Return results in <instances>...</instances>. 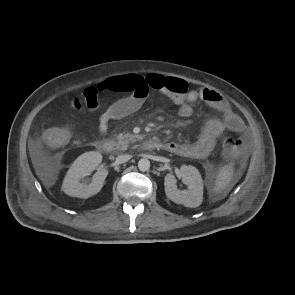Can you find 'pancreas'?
<instances>
[{"instance_id": "obj_1", "label": "pancreas", "mask_w": 295, "mask_h": 295, "mask_svg": "<svg viewBox=\"0 0 295 295\" xmlns=\"http://www.w3.org/2000/svg\"><path fill=\"white\" fill-rule=\"evenodd\" d=\"M116 139H117V148L118 149H121V150H126L128 148V144L130 142H134L136 137L135 135H132V134H118L116 136Z\"/></svg>"}]
</instances>
